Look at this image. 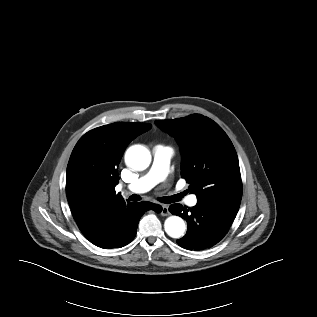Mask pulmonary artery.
<instances>
[{"instance_id":"pulmonary-artery-1","label":"pulmonary artery","mask_w":317,"mask_h":317,"mask_svg":"<svg viewBox=\"0 0 317 317\" xmlns=\"http://www.w3.org/2000/svg\"><path fill=\"white\" fill-rule=\"evenodd\" d=\"M172 155L173 150L170 147L156 145L153 149V162L149 171L129 185L127 190L132 193H144L164 181L168 174ZM197 201L196 195H190L186 199L189 206H195Z\"/></svg>"}]
</instances>
